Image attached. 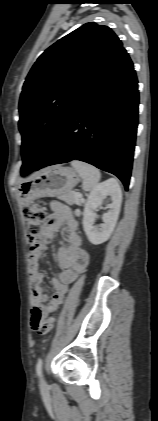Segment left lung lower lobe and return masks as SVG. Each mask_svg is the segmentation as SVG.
Instances as JSON below:
<instances>
[{"mask_svg":"<svg viewBox=\"0 0 158 421\" xmlns=\"http://www.w3.org/2000/svg\"><path fill=\"white\" fill-rule=\"evenodd\" d=\"M137 83L133 63L121 47L69 110L31 172L77 159L116 175L128 190L138 125Z\"/></svg>","mask_w":158,"mask_h":421,"instance_id":"obj_1","label":"left lung lower lobe"}]
</instances>
